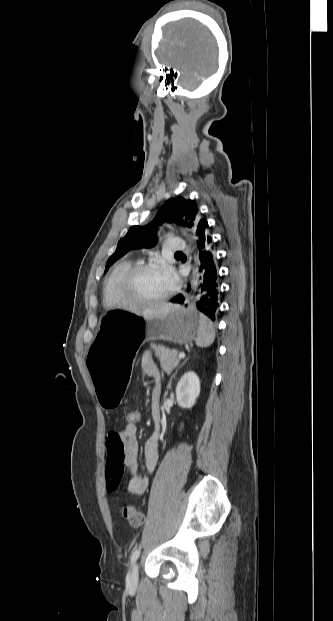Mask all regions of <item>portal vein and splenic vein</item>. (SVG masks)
<instances>
[{
	"instance_id": "1",
	"label": "portal vein and splenic vein",
	"mask_w": 333,
	"mask_h": 621,
	"mask_svg": "<svg viewBox=\"0 0 333 621\" xmlns=\"http://www.w3.org/2000/svg\"><path fill=\"white\" fill-rule=\"evenodd\" d=\"M184 357H185V354H184V353H180V354L178 355V358H179V359H183Z\"/></svg>"
}]
</instances>
